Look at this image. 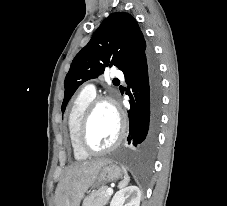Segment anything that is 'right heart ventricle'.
Returning a JSON list of instances; mask_svg holds the SVG:
<instances>
[{"label": "right heart ventricle", "instance_id": "e07e8e85", "mask_svg": "<svg viewBox=\"0 0 227 206\" xmlns=\"http://www.w3.org/2000/svg\"><path fill=\"white\" fill-rule=\"evenodd\" d=\"M94 97L95 93L85 90L81 91L73 100L68 112L67 134L73 157L76 160H85L88 157V154L83 152L77 144V129L85 108Z\"/></svg>", "mask_w": 227, "mask_h": 206}]
</instances>
